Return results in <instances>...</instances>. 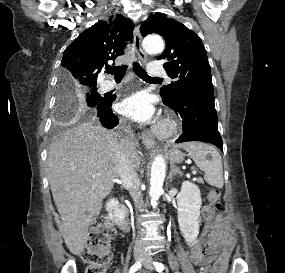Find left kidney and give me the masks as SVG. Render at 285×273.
I'll return each instance as SVG.
<instances>
[{"instance_id":"obj_1","label":"left kidney","mask_w":285,"mask_h":273,"mask_svg":"<svg viewBox=\"0 0 285 273\" xmlns=\"http://www.w3.org/2000/svg\"><path fill=\"white\" fill-rule=\"evenodd\" d=\"M176 199L180 231L187 242L193 243L199 234V217L202 205L200 190L195 184L188 181L183 182Z\"/></svg>"}]
</instances>
